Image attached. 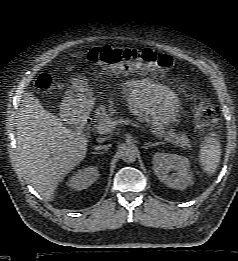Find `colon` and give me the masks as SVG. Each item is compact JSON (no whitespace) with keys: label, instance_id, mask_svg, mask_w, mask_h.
I'll return each mask as SVG.
<instances>
[{"label":"colon","instance_id":"obj_1","mask_svg":"<svg viewBox=\"0 0 238 261\" xmlns=\"http://www.w3.org/2000/svg\"><path fill=\"white\" fill-rule=\"evenodd\" d=\"M87 60L104 70L113 73H155L162 74L175 67L173 59L165 54L152 50L121 48L111 45L93 47L87 54ZM51 85V77L41 74L35 82V88L46 92ZM194 114L198 129L202 133H209L218 123V109L199 93L193 92Z\"/></svg>","mask_w":238,"mask_h":261}]
</instances>
